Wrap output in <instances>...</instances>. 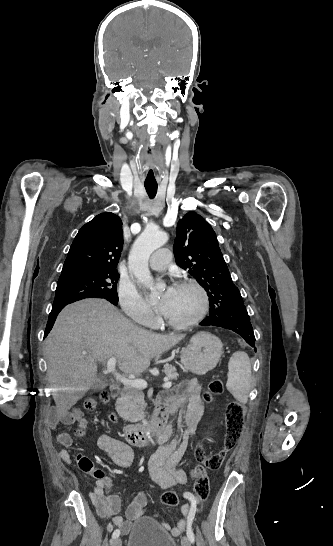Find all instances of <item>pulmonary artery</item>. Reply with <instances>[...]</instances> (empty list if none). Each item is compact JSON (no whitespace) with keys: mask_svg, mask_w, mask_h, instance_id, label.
<instances>
[{"mask_svg":"<svg viewBox=\"0 0 333 546\" xmlns=\"http://www.w3.org/2000/svg\"><path fill=\"white\" fill-rule=\"evenodd\" d=\"M171 260V252L169 249L162 248L154 252L149 260V266L153 270H164L167 268Z\"/></svg>","mask_w":333,"mask_h":546,"instance_id":"obj_1","label":"pulmonary artery"}]
</instances>
